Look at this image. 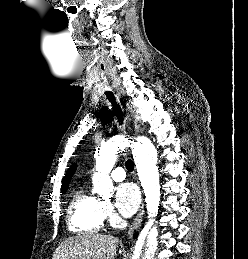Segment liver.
<instances>
[{"label": "liver", "mask_w": 248, "mask_h": 259, "mask_svg": "<svg viewBox=\"0 0 248 259\" xmlns=\"http://www.w3.org/2000/svg\"><path fill=\"white\" fill-rule=\"evenodd\" d=\"M118 243L114 236L85 233L62 242L52 259H115Z\"/></svg>", "instance_id": "obj_1"}]
</instances>
